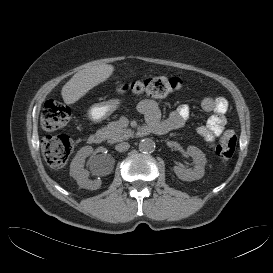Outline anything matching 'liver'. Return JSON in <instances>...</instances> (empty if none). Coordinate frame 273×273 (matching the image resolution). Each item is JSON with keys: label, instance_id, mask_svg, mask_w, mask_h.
Returning a JSON list of instances; mask_svg holds the SVG:
<instances>
[{"label": "liver", "instance_id": "obj_1", "mask_svg": "<svg viewBox=\"0 0 273 273\" xmlns=\"http://www.w3.org/2000/svg\"><path fill=\"white\" fill-rule=\"evenodd\" d=\"M114 72L111 64H102L85 68L74 74L62 87L61 95L66 104H73L90 89L106 81Z\"/></svg>", "mask_w": 273, "mask_h": 273}]
</instances>
